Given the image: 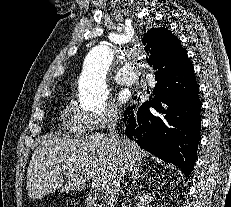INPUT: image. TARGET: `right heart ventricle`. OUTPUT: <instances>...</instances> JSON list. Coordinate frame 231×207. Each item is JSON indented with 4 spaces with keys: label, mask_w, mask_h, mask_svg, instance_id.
I'll return each mask as SVG.
<instances>
[{
    "label": "right heart ventricle",
    "mask_w": 231,
    "mask_h": 207,
    "mask_svg": "<svg viewBox=\"0 0 231 207\" xmlns=\"http://www.w3.org/2000/svg\"><path fill=\"white\" fill-rule=\"evenodd\" d=\"M62 128L70 134H84L87 130L84 124L83 113L72 103L64 106L61 114Z\"/></svg>",
    "instance_id": "right-heart-ventricle-1"
}]
</instances>
